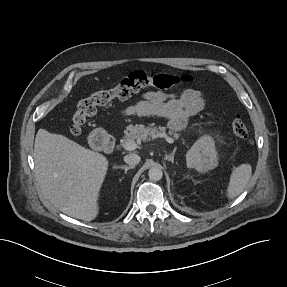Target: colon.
Wrapping results in <instances>:
<instances>
[{
	"mask_svg": "<svg viewBox=\"0 0 287 287\" xmlns=\"http://www.w3.org/2000/svg\"><path fill=\"white\" fill-rule=\"evenodd\" d=\"M193 81L190 75H175L168 73H149L136 70L122 78L113 88L99 90L90 97L80 100L71 118L70 131L73 135H79L83 125L96 112L97 107L109 106L113 100L128 99L147 86H154L161 90H167ZM233 133L241 138L248 136V129L242 117L235 114L232 120Z\"/></svg>",
	"mask_w": 287,
	"mask_h": 287,
	"instance_id": "5ec220e1",
	"label": "colon"
}]
</instances>
